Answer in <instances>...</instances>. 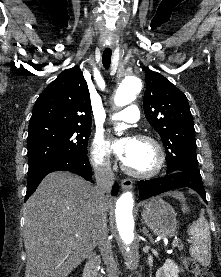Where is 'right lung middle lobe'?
Masks as SVG:
<instances>
[{"label": "right lung middle lobe", "mask_w": 221, "mask_h": 277, "mask_svg": "<svg viewBox=\"0 0 221 277\" xmlns=\"http://www.w3.org/2000/svg\"><path fill=\"white\" fill-rule=\"evenodd\" d=\"M91 125L44 124L29 126L28 160L31 173L47 163L86 155Z\"/></svg>", "instance_id": "right-lung-middle-lobe-1"}]
</instances>
